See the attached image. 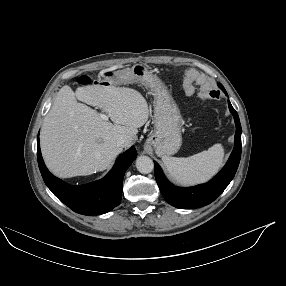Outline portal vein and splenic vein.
<instances>
[{
	"label": "portal vein and splenic vein",
	"mask_w": 286,
	"mask_h": 286,
	"mask_svg": "<svg viewBox=\"0 0 286 286\" xmlns=\"http://www.w3.org/2000/svg\"><path fill=\"white\" fill-rule=\"evenodd\" d=\"M100 117L105 121H107L109 119V116L106 114H103V113L100 114Z\"/></svg>",
	"instance_id": "obj_1"
}]
</instances>
